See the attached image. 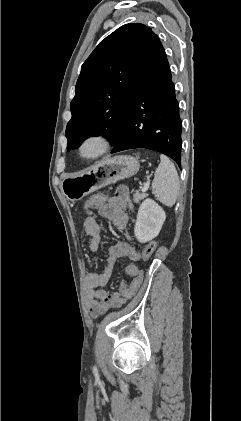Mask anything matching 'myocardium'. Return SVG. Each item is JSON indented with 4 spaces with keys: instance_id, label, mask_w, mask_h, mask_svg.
Masks as SVG:
<instances>
[{
    "instance_id": "obj_1",
    "label": "myocardium",
    "mask_w": 241,
    "mask_h": 421,
    "mask_svg": "<svg viewBox=\"0 0 241 421\" xmlns=\"http://www.w3.org/2000/svg\"><path fill=\"white\" fill-rule=\"evenodd\" d=\"M95 144L96 150L87 153L85 148L89 144ZM111 147V138L104 131H93L85 135L78 146L79 155L86 160H96L104 155Z\"/></svg>"
}]
</instances>
